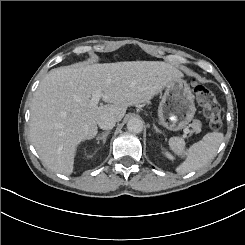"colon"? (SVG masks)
Instances as JSON below:
<instances>
[{
	"instance_id": "obj_1",
	"label": "colon",
	"mask_w": 245,
	"mask_h": 245,
	"mask_svg": "<svg viewBox=\"0 0 245 245\" xmlns=\"http://www.w3.org/2000/svg\"><path fill=\"white\" fill-rule=\"evenodd\" d=\"M194 92L198 102L202 105L204 114L209 121L211 128L218 129L222 125L221 107L214 93L207 87L196 83Z\"/></svg>"
}]
</instances>
